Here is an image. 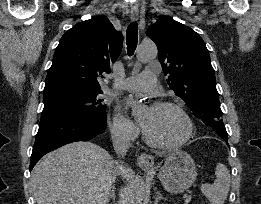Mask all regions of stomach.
<instances>
[{
	"mask_svg": "<svg viewBox=\"0 0 261 204\" xmlns=\"http://www.w3.org/2000/svg\"><path fill=\"white\" fill-rule=\"evenodd\" d=\"M196 177L195 163L184 151L170 153L158 173L162 185L171 193L187 190L195 182Z\"/></svg>",
	"mask_w": 261,
	"mask_h": 204,
	"instance_id": "stomach-1",
	"label": "stomach"
}]
</instances>
